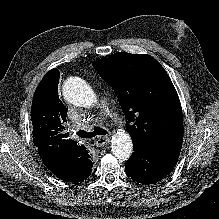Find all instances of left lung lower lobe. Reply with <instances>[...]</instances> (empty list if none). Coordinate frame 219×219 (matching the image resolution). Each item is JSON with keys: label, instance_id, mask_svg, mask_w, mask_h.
Here are the masks:
<instances>
[{"label": "left lung lower lobe", "instance_id": "1", "mask_svg": "<svg viewBox=\"0 0 219 219\" xmlns=\"http://www.w3.org/2000/svg\"><path fill=\"white\" fill-rule=\"evenodd\" d=\"M180 152L165 153L144 144L134 143V153L125 163L126 173L143 184H154L165 178L176 164Z\"/></svg>", "mask_w": 219, "mask_h": 219}]
</instances>
